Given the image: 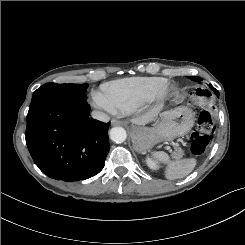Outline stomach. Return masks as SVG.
Instances as JSON below:
<instances>
[{"mask_svg": "<svg viewBox=\"0 0 245 245\" xmlns=\"http://www.w3.org/2000/svg\"><path fill=\"white\" fill-rule=\"evenodd\" d=\"M194 125V116L187 107H177L160 113V121L153 127L133 126L131 137L138 152H145L163 141H171L187 134Z\"/></svg>", "mask_w": 245, "mask_h": 245, "instance_id": "obj_1", "label": "stomach"}]
</instances>
